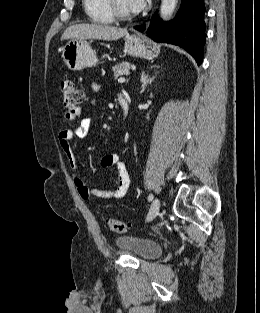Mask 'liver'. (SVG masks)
<instances>
[{
    "label": "liver",
    "instance_id": "6515ba94",
    "mask_svg": "<svg viewBox=\"0 0 260 313\" xmlns=\"http://www.w3.org/2000/svg\"><path fill=\"white\" fill-rule=\"evenodd\" d=\"M127 29L118 28L109 25L103 24H89L81 23L70 26L67 28L61 40L66 39H76V40H85V39H100V40H117L127 34Z\"/></svg>",
    "mask_w": 260,
    "mask_h": 313
}]
</instances>
